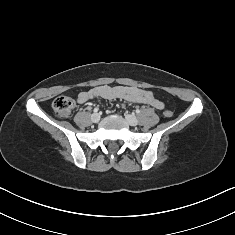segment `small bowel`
Listing matches in <instances>:
<instances>
[{"label": "small bowel", "instance_id": "small-bowel-1", "mask_svg": "<svg viewBox=\"0 0 235 235\" xmlns=\"http://www.w3.org/2000/svg\"><path fill=\"white\" fill-rule=\"evenodd\" d=\"M93 98L109 100L121 98L131 103L148 105L157 110L164 108V103L156 99L151 91L132 86H96L80 92L77 101L83 104Z\"/></svg>", "mask_w": 235, "mask_h": 235}]
</instances>
